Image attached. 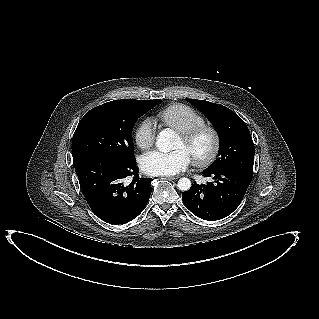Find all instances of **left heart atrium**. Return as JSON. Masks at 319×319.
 Returning a JSON list of instances; mask_svg holds the SVG:
<instances>
[{
	"label": "left heart atrium",
	"instance_id": "obj_1",
	"mask_svg": "<svg viewBox=\"0 0 319 319\" xmlns=\"http://www.w3.org/2000/svg\"><path fill=\"white\" fill-rule=\"evenodd\" d=\"M190 162L189 153L184 148H177L170 152H148L142 156L140 164L144 173L158 176L177 174L187 168Z\"/></svg>",
	"mask_w": 319,
	"mask_h": 319
}]
</instances>
